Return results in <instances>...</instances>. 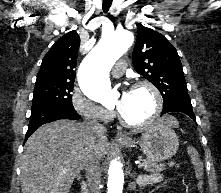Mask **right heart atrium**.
Masks as SVG:
<instances>
[{
    "instance_id": "1",
    "label": "right heart atrium",
    "mask_w": 221,
    "mask_h": 193,
    "mask_svg": "<svg viewBox=\"0 0 221 193\" xmlns=\"http://www.w3.org/2000/svg\"><path fill=\"white\" fill-rule=\"evenodd\" d=\"M71 105L78 114L93 122L107 123L114 116L110 109L98 104L78 88L72 92Z\"/></svg>"
}]
</instances>
